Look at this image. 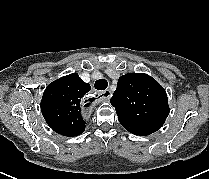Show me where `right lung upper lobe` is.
<instances>
[{"instance_id": "1", "label": "right lung upper lobe", "mask_w": 209, "mask_h": 179, "mask_svg": "<svg viewBox=\"0 0 209 179\" xmlns=\"http://www.w3.org/2000/svg\"><path fill=\"white\" fill-rule=\"evenodd\" d=\"M90 89V85L83 82L77 73L49 84L41 100V111L47 124L63 136L80 135L85 130L81 112L94 100H85V94Z\"/></svg>"}]
</instances>
